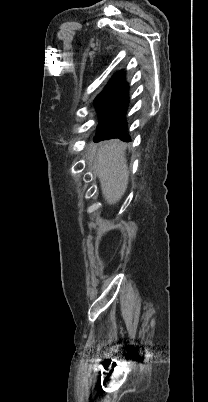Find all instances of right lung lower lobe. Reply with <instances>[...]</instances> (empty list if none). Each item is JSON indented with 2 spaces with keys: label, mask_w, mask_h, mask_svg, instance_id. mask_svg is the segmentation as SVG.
I'll use <instances>...</instances> for the list:
<instances>
[{
  "label": "right lung lower lobe",
  "mask_w": 208,
  "mask_h": 402,
  "mask_svg": "<svg viewBox=\"0 0 208 402\" xmlns=\"http://www.w3.org/2000/svg\"><path fill=\"white\" fill-rule=\"evenodd\" d=\"M125 73L121 74L111 85L112 90H118L123 100V109L116 124H112L109 120L100 121L98 131L94 141H101L110 138H119L123 141H129L130 137L126 135V124L124 123V115L127 109L128 89L125 82Z\"/></svg>",
  "instance_id": "98d812e1"
}]
</instances>
